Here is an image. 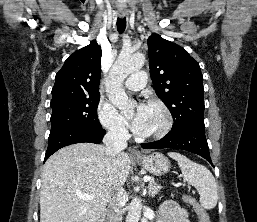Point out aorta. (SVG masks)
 <instances>
[{"instance_id": "1", "label": "aorta", "mask_w": 257, "mask_h": 222, "mask_svg": "<svg viewBox=\"0 0 257 222\" xmlns=\"http://www.w3.org/2000/svg\"><path fill=\"white\" fill-rule=\"evenodd\" d=\"M144 63L145 57L143 54L122 52L110 70L105 82L106 93L109 101L123 113L131 112L135 105V102L129 99L125 93L123 82L132 72L141 69ZM141 210V199L134 197L129 205L126 222H138Z\"/></svg>"}]
</instances>
